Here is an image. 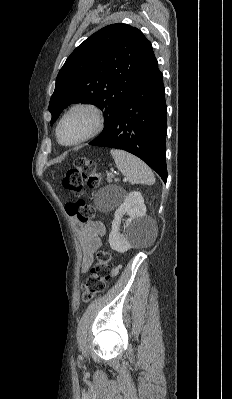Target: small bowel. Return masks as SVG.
Returning a JSON list of instances; mask_svg holds the SVG:
<instances>
[{"label": "small bowel", "instance_id": "1", "mask_svg": "<svg viewBox=\"0 0 232 399\" xmlns=\"http://www.w3.org/2000/svg\"><path fill=\"white\" fill-rule=\"evenodd\" d=\"M76 233L82 249L81 268L86 272L94 261L96 249L101 244L102 226L100 223L79 226Z\"/></svg>", "mask_w": 232, "mask_h": 399}]
</instances>
